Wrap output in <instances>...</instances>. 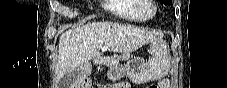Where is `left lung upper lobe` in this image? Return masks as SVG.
I'll use <instances>...</instances> for the list:
<instances>
[{"instance_id": "1", "label": "left lung upper lobe", "mask_w": 227, "mask_h": 88, "mask_svg": "<svg viewBox=\"0 0 227 88\" xmlns=\"http://www.w3.org/2000/svg\"><path fill=\"white\" fill-rule=\"evenodd\" d=\"M159 2L164 5H170L172 3V0H159Z\"/></svg>"}]
</instances>
